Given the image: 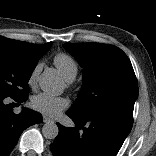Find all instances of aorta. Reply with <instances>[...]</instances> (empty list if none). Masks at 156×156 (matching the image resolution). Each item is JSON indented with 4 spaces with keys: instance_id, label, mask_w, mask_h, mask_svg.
<instances>
[{
    "instance_id": "1",
    "label": "aorta",
    "mask_w": 156,
    "mask_h": 156,
    "mask_svg": "<svg viewBox=\"0 0 156 156\" xmlns=\"http://www.w3.org/2000/svg\"><path fill=\"white\" fill-rule=\"evenodd\" d=\"M39 85L44 92L55 94L60 92L62 81L54 72L44 71L40 76ZM58 132V126L53 121L46 122L42 127V134L46 139H55Z\"/></svg>"
}]
</instances>
